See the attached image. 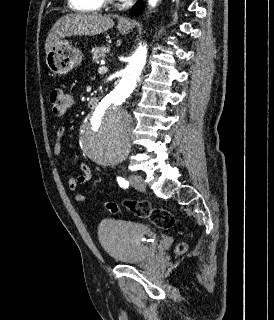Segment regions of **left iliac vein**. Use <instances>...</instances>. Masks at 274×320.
I'll return each instance as SVG.
<instances>
[{
  "mask_svg": "<svg viewBox=\"0 0 274 320\" xmlns=\"http://www.w3.org/2000/svg\"><path fill=\"white\" fill-rule=\"evenodd\" d=\"M129 182L130 184L137 190H140V191H143L145 190V182H144V179L139 176V175H136V174H131L129 177Z\"/></svg>",
  "mask_w": 274,
  "mask_h": 320,
  "instance_id": "left-iliac-vein-1",
  "label": "left iliac vein"
}]
</instances>
